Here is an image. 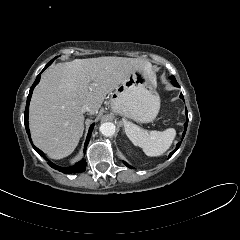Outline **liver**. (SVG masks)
Instances as JSON below:
<instances>
[{
    "label": "liver",
    "instance_id": "obj_1",
    "mask_svg": "<svg viewBox=\"0 0 240 240\" xmlns=\"http://www.w3.org/2000/svg\"><path fill=\"white\" fill-rule=\"evenodd\" d=\"M151 63L137 58L75 59L47 69L30 102L29 126L34 144L52 159L70 155L84 130L82 107L98 113L105 96L133 71L143 69L154 78Z\"/></svg>",
    "mask_w": 240,
    "mask_h": 240
}]
</instances>
